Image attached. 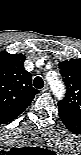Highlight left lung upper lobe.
Listing matches in <instances>:
<instances>
[{
	"label": "left lung upper lobe",
	"instance_id": "1",
	"mask_svg": "<svg viewBox=\"0 0 81 155\" xmlns=\"http://www.w3.org/2000/svg\"><path fill=\"white\" fill-rule=\"evenodd\" d=\"M66 85V95L58 102V111L73 119L81 120V60L71 59L59 63Z\"/></svg>",
	"mask_w": 81,
	"mask_h": 155
}]
</instances>
